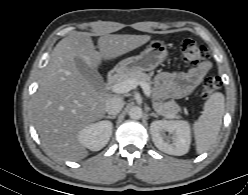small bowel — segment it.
Listing matches in <instances>:
<instances>
[{
  "label": "small bowel",
  "instance_id": "obj_1",
  "mask_svg": "<svg viewBox=\"0 0 248 195\" xmlns=\"http://www.w3.org/2000/svg\"><path fill=\"white\" fill-rule=\"evenodd\" d=\"M210 69V63L203 62L186 72H163L157 77V86L166 98H183L200 85Z\"/></svg>",
  "mask_w": 248,
  "mask_h": 195
}]
</instances>
